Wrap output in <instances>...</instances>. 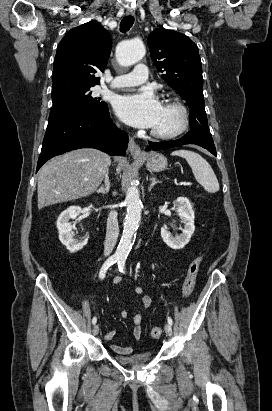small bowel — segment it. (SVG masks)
Segmentation results:
<instances>
[{
  "label": "small bowel",
  "mask_w": 272,
  "mask_h": 411,
  "mask_svg": "<svg viewBox=\"0 0 272 411\" xmlns=\"http://www.w3.org/2000/svg\"><path fill=\"white\" fill-rule=\"evenodd\" d=\"M122 282V278L116 277L113 279V283L118 284ZM133 292L138 296L143 308H148L151 305V298L147 295L143 294V289L140 286H133ZM120 316L123 319L128 317V313L126 310L120 311ZM142 334V313L137 312L133 317V331L132 336L135 340H138ZM114 336V332L109 330L103 334L105 340H111ZM111 348L119 354L128 355L132 353L133 347L132 346H124V345H111Z\"/></svg>",
  "instance_id": "c3829d8e"
}]
</instances>
